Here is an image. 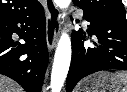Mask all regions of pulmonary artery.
Masks as SVG:
<instances>
[{"instance_id": "e3ab8cb5", "label": "pulmonary artery", "mask_w": 127, "mask_h": 92, "mask_svg": "<svg viewBox=\"0 0 127 92\" xmlns=\"http://www.w3.org/2000/svg\"><path fill=\"white\" fill-rule=\"evenodd\" d=\"M80 16L82 17V13H80ZM83 22L86 23V21L83 19Z\"/></svg>"}]
</instances>
